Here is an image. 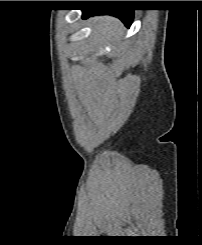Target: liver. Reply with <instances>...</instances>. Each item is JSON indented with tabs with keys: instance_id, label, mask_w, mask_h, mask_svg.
<instances>
[{
	"instance_id": "liver-1",
	"label": "liver",
	"mask_w": 202,
	"mask_h": 245,
	"mask_svg": "<svg viewBox=\"0 0 202 245\" xmlns=\"http://www.w3.org/2000/svg\"><path fill=\"white\" fill-rule=\"evenodd\" d=\"M93 41L95 43H108L117 40L122 34L121 22L113 17L101 16L93 18Z\"/></svg>"
}]
</instances>
